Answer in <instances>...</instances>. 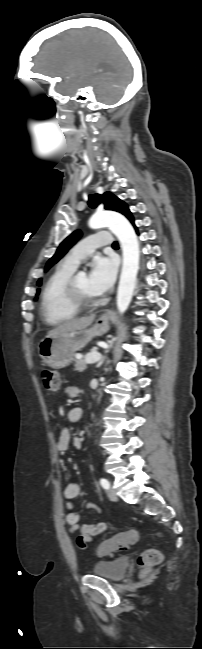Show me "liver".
Instances as JSON below:
<instances>
[{"label":"liver","instance_id":"6515ba94","mask_svg":"<svg viewBox=\"0 0 202 649\" xmlns=\"http://www.w3.org/2000/svg\"><path fill=\"white\" fill-rule=\"evenodd\" d=\"M95 319L94 315L88 317H82L78 319H72L65 321L64 323L58 325L56 328L50 330L46 337H55L59 334L66 333L69 331L82 330L90 326Z\"/></svg>","mask_w":202,"mask_h":649}]
</instances>
